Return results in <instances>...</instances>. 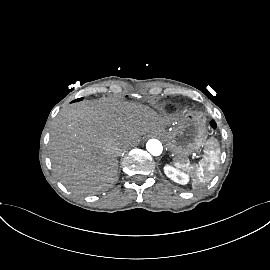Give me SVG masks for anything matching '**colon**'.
<instances>
[{"label":"colon","mask_w":270,"mask_h":270,"mask_svg":"<svg viewBox=\"0 0 270 270\" xmlns=\"http://www.w3.org/2000/svg\"><path fill=\"white\" fill-rule=\"evenodd\" d=\"M210 125H211L212 128H215L216 127V124L213 121L210 123Z\"/></svg>","instance_id":"colon-1"}]
</instances>
